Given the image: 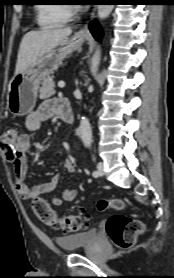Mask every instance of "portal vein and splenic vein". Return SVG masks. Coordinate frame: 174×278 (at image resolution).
<instances>
[{
	"label": "portal vein and splenic vein",
	"instance_id": "obj_1",
	"mask_svg": "<svg viewBox=\"0 0 174 278\" xmlns=\"http://www.w3.org/2000/svg\"><path fill=\"white\" fill-rule=\"evenodd\" d=\"M58 86H59L60 88H64V87H65V83H64L63 81H60V82L58 83Z\"/></svg>",
	"mask_w": 174,
	"mask_h": 278
}]
</instances>
